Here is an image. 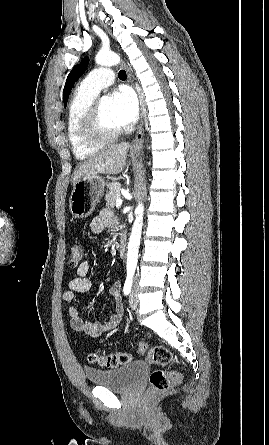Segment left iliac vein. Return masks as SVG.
<instances>
[{"mask_svg":"<svg viewBox=\"0 0 269 445\" xmlns=\"http://www.w3.org/2000/svg\"><path fill=\"white\" fill-rule=\"evenodd\" d=\"M129 304L132 309H136L138 306V298H137V291L136 287H134L131 291V294L129 296Z\"/></svg>","mask_w":269,"mask_h":445,"instance_id":"obj_1","label":"left iliac vein"}]
</instances>
